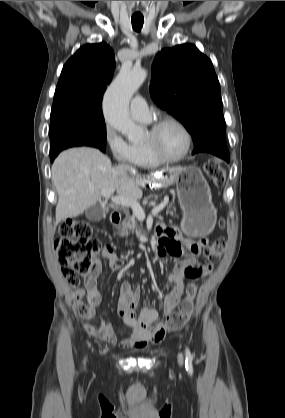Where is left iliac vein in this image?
<instances>
[{"mask_svg":"<svg viewBox=\"0 0 285 418\" xmlns=\"http://www.w3.org/2000/svg\"><path fill=\"white\" fill-rule=\"evenodd\" d=\"M178 363H179L180 365H182V364H183V356H182V354H181V353L178 355Z\"/></svg>","mask_w":285,"mask_h":418,"instance_id":"4c4485c4","label":"left iliac vein"}]
</instances>
